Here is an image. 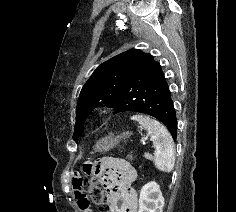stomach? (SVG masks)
I'll return each instance as SVG.
<instances>
[{"mask_svg": "<svg viewBox=\"0 0 236 212\" xmlns=\"http://www.w3.org/2000/svg\"><path fill=\"white\" fill-rule=\"evenodd\" d=\"M131 134V132L127 131L117 137H104L98 143H96L95 149L97 151H108L115 147L121 140L129 138Z\"/></svg>", "mask_w": 236, "mask_h": 212, "instance_id": "stomach-1", "label": "stomach"}]
</instances>
